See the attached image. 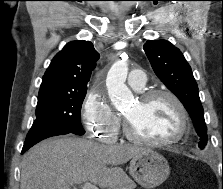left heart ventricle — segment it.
<instances>
[{
  "label": "left heart ventricle",
  "mask_w": 223,
  "mask_h": 189,
  "mask_svg": "<svg viewBox=\"0 0 223 189\" xmlns=\"http://www.w3.org/2000/svg\"><path fill=\"white\" fill-rule=\"evenodd\" d=\"M125 117L137 134L152 139L171 138L180 127L179 112L167 97H157L146 103L136 101Z\"/></svg>",
  "instance_id": "1"
}]
</instances>
